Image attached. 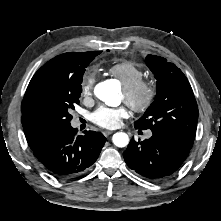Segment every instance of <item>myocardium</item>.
<instances>
[{
	"mask_svg": "<svg viewBox=\"0 0 221 221\" xmlns=\"http://www.w3.org/2000/svg\"><path fill=\"white\" fill-rule=\"evenodd\" d=\"M125 100L136 112H145L153 105L157 87L153 80L141 79L136 83L123 87Z\"/></svg>",
	"mask_w": 221,
	"mask_h": 221,
	"instance_id": "obj_1",
	"label": "myocardium"
}]
</instances>
